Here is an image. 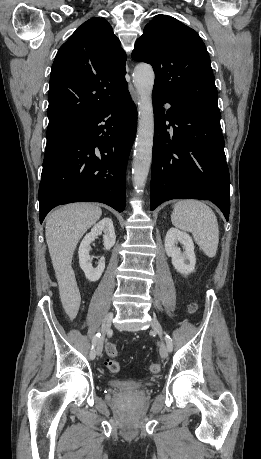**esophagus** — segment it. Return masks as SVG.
I'll use <instances>...</instances> for the list:
<instances>
[{"label":"esophagus","instance_id":"1","mask_svg":"<svg viewBox=\"0 0 261 459\" xmlns=\"http://www.w3.org/2000/svg\"><path fill=\"white\" fill-rule=\"evenodd\" d=\"M129 92L131 94L132 99L136 102L137 101V94L132 85H129Z\"/></svg>","mask_w":261,"mask_h":459}]
</instances>
